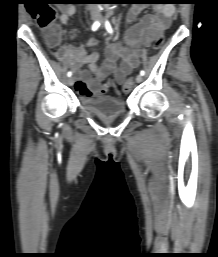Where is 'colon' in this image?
Returning <instances> with one entry per match:
<instances>
[{"label": "colon", "mask_w": 218, "mask_h": 257, "mask_svg": "<svg viewBox=\"0 0 218 257\" xmlns=\"http://www.w3.org/2000/svg\"><path fill=\"white\" fill-rule=\"evenodd\" d=\"M25 10H33V16L36 18L37 23L41 29L46 33V39L50 46L54 47L59 42V29L55 24L56 12L52 7L43 5H25ZM162 37L157 38L154 41L153 48L155 50L159 49L162 45ZM101 94H105L106 98H121L122 89L115 82L114 79H107L106 82H101ZM133 87L131 80L124 83L123 89L125 92H129Z\"/></svg>", "instance_id": "1"}]
</instances>
